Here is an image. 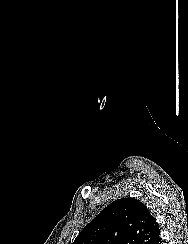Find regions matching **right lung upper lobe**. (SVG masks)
<instances>
[{"mask_svg":"<svg viewBox=\"0 0 188 244\" xmlns=\"http://www.w3.org/2000/svg\"><path fill=\"white\" fill-rule=\"evenodd\" d=\"M159 225L135 198L113 201L79 233L72 244H148Z\"/></svg>","mask_w":188,"mask_h":244,"instance_id":"cb5924a9","label":"right lung upper lobe"}]
</instances>
